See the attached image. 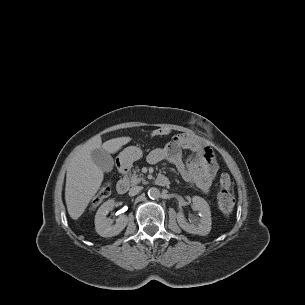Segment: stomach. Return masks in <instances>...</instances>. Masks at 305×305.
I'll return each mask as SVG.
<instances>
[{
    "instance_id": "obj_1",
    "label": "stomach",
    "mask_w": 305,
    "mask_h": 305,
    "mask_svg": "<svg viewBox=\"0 0 305 305\" xmlns=\"http://www.w3.org/2000/svg\"><path fill=\"white\" fill-rule=\"evenodd\" d=\"M142 150L137 146H129L125 148L118 156L120 164L127 168L130 167L133 162L139 160L142 157Z\"/></svg>"
}]
</instances>
